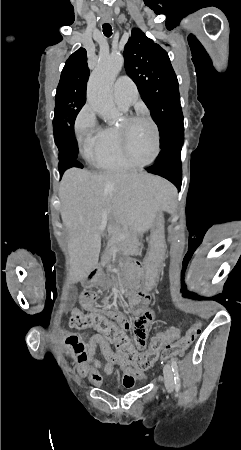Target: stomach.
I'll return each mask as SVG.
<instances>
[{
	"mask_svg": "<svg viewBox=\"0 0 241 450\" xmlns=\"http://www.w3.org/2000/svg\"><path fill=\"white\" fill-rule=\"evenodd\" d=\"M165 251L166 243L163 226L162 222L159 221L151 233L148 252L144 259V280L148 288L153 287L158 278Z\"/></svg>",
	"mask_w": 241,
	"mask_h": 450,
	"instance_id": "stomach-1",
	"label": "stomach"
}]
</instances>
